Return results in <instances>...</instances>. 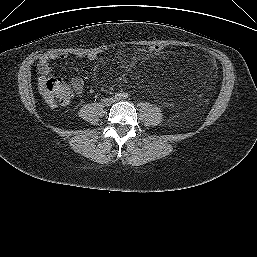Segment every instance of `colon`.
<instances>
[{
    "mask_svg": "<svg viewBox=\"0 0 257 257\" xmlns=\"http://www.w3.org/2000/svg\"><path fill=\"white\" fill-rule=\"evenodd\" d=\"M149 50L159 53L164 50V46L161 44L151 45ZM42 92L51 103L67 104L73 96L71 88L59 77H49L42 85Z\"/></svg>",
    "mask_w": 257,
    "mask_h": 257,
    "instance_id": "colon-1",
    "label": "colon"
}]
</instances>
